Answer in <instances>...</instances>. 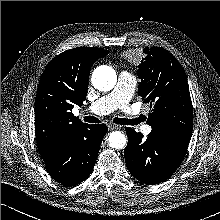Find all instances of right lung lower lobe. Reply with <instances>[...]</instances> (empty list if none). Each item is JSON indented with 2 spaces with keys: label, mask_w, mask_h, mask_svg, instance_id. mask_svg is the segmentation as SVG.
I'll return each mask as SVG.
<instances>
[{
  "label": "right lung lower lobe",
  "mask_w": 220,
  "mask_h": 220,
  "mask_svg": "<svg viewBox=\"0 0 220 220\" xmlns=\"http://www.w3.org/2000/svg\"><path fill=\"white\" fill-rule=\"evenodd\" d=\"M107 132L104 124L87 125L73 134L62 146L44 159L54 180L74 186L91 174L102 139Z\"/></svg>",
  "instance_id": "98d812e1"
}]
</instances>
